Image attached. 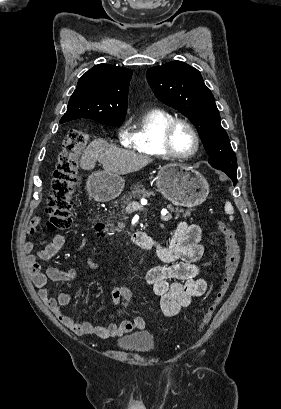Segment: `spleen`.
Listing matches in <instances>:
<instances>
[{
	"mask_svg": "<svg viewBox=\"0 0 281 409\" xmlns=\"http://www.w3.org/2000/svg\"><path fill=\"white\" fill-rule=\"evenodd\" d=\"M225 213H227V215H233L234 213V209L231 205V202H229V200H227L226 205H225ZM230 221H233V217H229Z\"/></svg>",
	"mask_w": 281,
	"mask_h": 409,
	"instance_id": "spleen-1",
	"label": "spleen"
}]
</instances>
